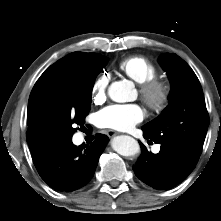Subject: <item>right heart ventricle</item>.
<instances>
[{
  "mask_svg": "<svg viewBox=\"0 0 221 221\" xmlns=\"http://www.w3.org/2000/svg\"><path fill=\"white\" fill-rule=\"evenodd\" d=\"M119 69L139 84L153 79L158 75L157 66L143 56H133L124 59L120 62Z\"/></svg>",
  "mask_w": 221,
  "mask_h": 221,
  "instance_id": "right-heart-ventricle-1",
  "label": "right heart ventricle"
}]
</instances>
